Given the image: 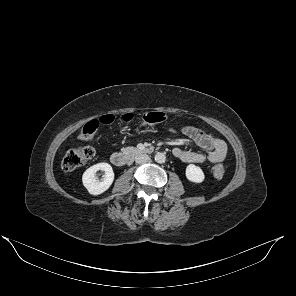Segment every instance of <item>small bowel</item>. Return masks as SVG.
Instances as JSON below:
<instances>
[{
	"label": "small bowel",
	"mask_w": 296,
	"mask_h": 296,
	"mask_svg": "<svg viewBox=\"0 0 296 296\" xmlns=\"http://www.w3.org/2000/svg\"><path fill=\"white\" fill-rule=\"evenodd\" d=\"M182 133L191 141L207 150L206 153H198L182 148H174L173 154L187 163H219L222 162L227 155V145L219 137L194 126H185Z\"/></svg>",
	"instance_id": "c3829d8e"
}]
</instances>
